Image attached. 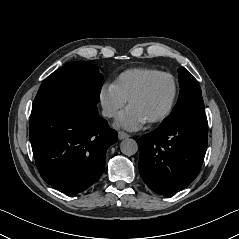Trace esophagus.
Segmentation results:
<instances>
[{
	"label": "esophagus",
	"mask_w": 239,
	"mask_h": 239,
	"mask_svg": "<svg viewBox=\"0 0 239 239\" xmlns=\"http://www.w3.org/2000/svg\"><path fill=\"white\" fill-rule=\"evenodd\" d=\"M129 136H130L129 134H127V133H125V132H123V131H119V132H118V138H119V140L128 138Z\"/></svg>",
	"instance_id": "esophagus-1"
}]
</instances>
